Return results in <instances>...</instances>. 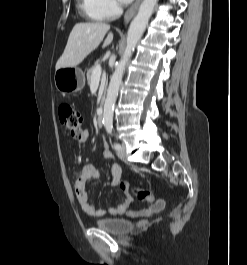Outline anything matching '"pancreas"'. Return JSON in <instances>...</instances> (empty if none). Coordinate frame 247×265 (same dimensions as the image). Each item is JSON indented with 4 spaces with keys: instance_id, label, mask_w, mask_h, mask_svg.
I'll return each mask as SVG.
<instances>
[{
    "instance_id": "obj_1",
    "label": "pancreas",
    "mask_w": 247,
    "mask_h": 265,
    "mask_svg": "<svg viewBox=\"0 0 247 265\" xmlns=\"http://www.w3.org/2000/svg\"><path fill=\"white\" fill-rule=\"evenodd\" d=\"M99 66L98 63H96L94 66H92L88 71H87V81L88 83L90 84L91 83V80H92V73L94 71V69Z\"/></svg>"
}]
</instances>
